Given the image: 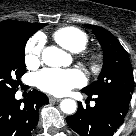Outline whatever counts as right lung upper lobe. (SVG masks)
<instances>
[{"label": "right lung upper lobe", "instance_id": "obj_1", "mask_svg": "<svg viewBox=\"0 0 136 136\" xmlns=\"http://www.w3.org/2000/svg\"><path fill=\"white\" fill-rule=\"evenodd\" d=\"M42 24L40 23H27L15 20H4L0 22V35H7L13 30H25L32 32L33 34L40 29Z\"/></svg>", "mask_w": 136, "mask_h": 136}]
</instances>
